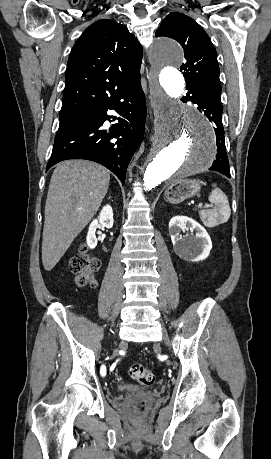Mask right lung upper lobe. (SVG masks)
Returning <instances> with one entry per match:
<instances>
[{
	"instance_id": "1",
	"label": "right lung upper lobe",
	"mask_w": 271,
	"mask_h": 459,
	"mask_svg": "<svg viewBox=\"0 0 271 459\" xmlns=\"http://www.w3.org/2000/svg\"><path fill=\"white\" fill-rule=\"evenodd\" d=\"M142 47L127 27L102 19L90 25L70 53L61 113L78 112L140 80Z\"/></svg>"
}]
</instances>
